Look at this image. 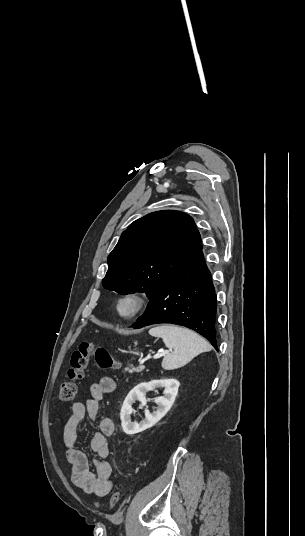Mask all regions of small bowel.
Instances as JSON below:
<instances>
[{
	"mask_svg": "<svg viewBox=\"0 0 305 536\" xmlns=\"http://www.w3.org/2000/svg\"><path fill=\"white\" fill-rule=\"evenodd\" d=\"M116 383L111 377H102L89 387L90 397L84 402H76L72 406L71 415L62 429V439L66 449V457L71 465V482L88 494L96 497L108 495L112 489V466L107 461L110 455L108 437L114 432V422L108 416L100 420V431L95 432L90 440V447L96 453L93 460L95 471L90 470L87 456L78 448V427L86 415L95 419L101 399L112 394Z\"/></svg>",
	"mask_w": 305,
	"mask_h": 536,
	"instance_id": "1",
	"label": "small bowel"
}]
</instances>
